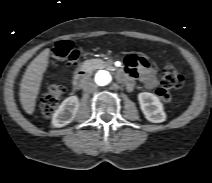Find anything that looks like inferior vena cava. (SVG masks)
Returning <instances> with one entry per match:
<instances>
[{
  "label": "inferior vena cava",
  "mask_w": 212,
  "mask_h": 183,
  "mask_svg": "<svg viewBox=\"0 0 212 183\" xmlns=\"http://www.w3.org/2000/svg\"><path fill=\"white\" fill-rule=\"evenodd\" d=\"M96 89L97 85L92 80H89L83 87V90L86 93H93Z\"/></svg>",
  "instance_id": "obj_1"
}]
</instances>
